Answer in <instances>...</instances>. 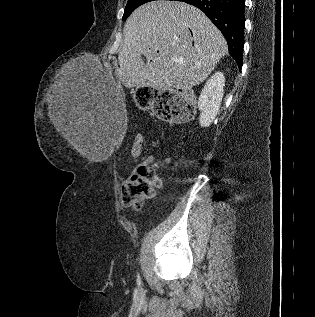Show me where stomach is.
<instances>
[{
	"label": "stomach",
	"mask_w": 315,
	"mask_h": 317,
	"mask_svg": "<svg viewBox=\"0 0 315 317\" xmlns=\"http://www.w3.org/2000/svg\"><path fill=\"white\" fill-rule=\"evenodd\" d=\"M136 95H157L158 89L157 88H148L147 85H143L142 88L135 89ZM138 104H143L144 108H149L150 104L154 103L153 97H138L137 98Z\"/></svg>",
	"instance_id": "1"
}]
</instances>
